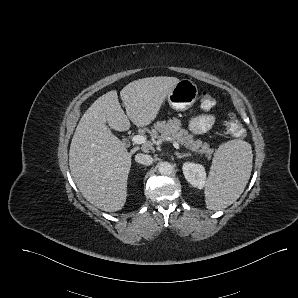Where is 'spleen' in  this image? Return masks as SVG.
Wrapping results in <instances>:
<instances>
[{"instance_id":"3e777b00","label":"spleen","mask_w":298,"mask_h":298,"mask_svg":"<svg viewBox=\"0 0 298 298\" xmlns=\"http://www.w3.org/2000/svg\"><path fill=\"white\" fill-rule=\"evenodd\" d=\"M252 162L250 143L233 139L219 145L205 181L207 209H225L240 197L250 179Z\"/></svg>"}]
</instances>
